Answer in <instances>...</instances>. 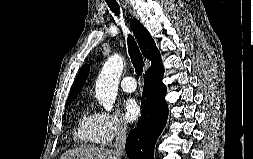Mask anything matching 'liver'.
<instances>
[{
  "label": "liver",
  "mask_w": 253,
  "mask_h": 159,
  "mask_svg": "<svg viewBox=\"0 0 253 159\" xmlns=\"http://www.w3.org/2000/svg\"><path fill=\"white\" fill-rule=\"evenodd\" d=\"M60 159H122L115 150L94 146H80L65 152Z\"/></svg>",
  "instance_id": "obj_1"
}]
</instances>
